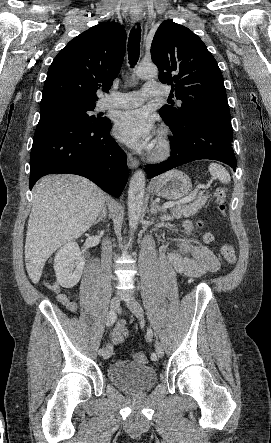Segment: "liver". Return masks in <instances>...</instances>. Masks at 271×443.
Masks as SVG:
<instances>
[{
    "instance_id": "liver-1",
    "label": "liver",
    "mask_w": 271,
    "mask_h": 443,
    "mask_svg": "<svg viewBox=\"0 0 271 443\" xmlns=\"http://www.w3.org/2000/svg\"><path fill=\"white\" fill-rule=\"evenodd\" d=\"M34 202L25 241V265L33 283L57 247L85 233L105 206V196L90 180L59 174L33 188Z\"/></svg>"
}]
</instances>
